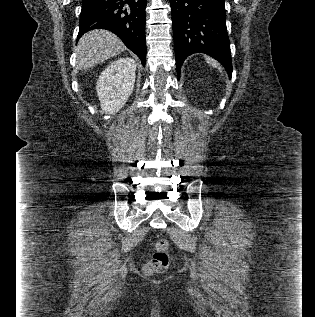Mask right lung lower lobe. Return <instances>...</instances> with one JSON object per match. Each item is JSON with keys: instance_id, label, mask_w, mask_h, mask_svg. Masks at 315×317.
I'll use <instances>...</instances> for the list:
<instances>
[{"instance_id": "1", "label": "right lung lower lobe", "mask_w": 315, "mask_h": 317, "mask_svg": "<svg viewBox=\"0 0 315 317\" xmlns=\"http://www.w3.org/2000/svg\"><path fill=\"white\" fill-rule=\"evenodd\" d=\"M146 0H83L78 39L92 29L115 33L145 65Z\"/></svg>"}]
</instances>
